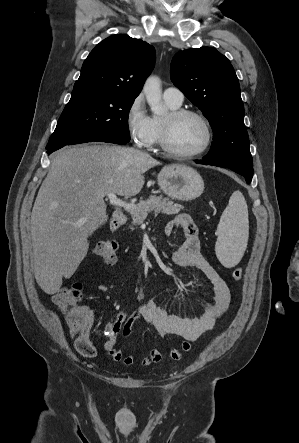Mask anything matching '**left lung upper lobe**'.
<instances>
[{"label": "left lung upper lobe", "instance_id": "5c2ea615", "mask_svg": "<svg viewBox=\"0 0 299 443\" xmlns=\"http://www.w3.org/2000/svg\"><path fill=\"white\" fill-rule=\"evenodd\" d=\"M170 76L214 132L203 159L220 167H253L239 81L229 60L212 47L180 51L172 59Z\"/></svg>", "mask_w": 299, "mask_h": 443}]
</instances>
